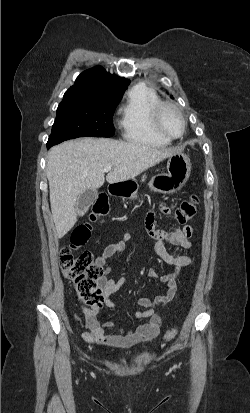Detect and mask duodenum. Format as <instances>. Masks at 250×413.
<instances>
[{"label": "duodenum", "instance_id": "duodenum-1", "mask_svg": "<svg viewBox=\"0 0 250 413\" xmlns=\"http://www.w3.org/2000/svg\"><path fill=\"white\" fill-rule=\"evenodd\" d=\"M121 186H122L121 183L110 185V187H109V194H110L111 196L120 195Z\"/></svg>", "mask_w": 250, "mask_h": 413}]
</instances>
